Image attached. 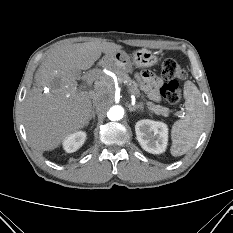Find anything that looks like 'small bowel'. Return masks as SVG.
I'll return each mask as SVG.
<instances>
[{
    "mask_svg": "<svg viewBox=\"0 0 233 233\" xmlns=\"http://www.w3.org/2000/svg\"><path fill=\"white\" fill-rule=\"evenodd\" d=\"M141 87L148 97L154 101H160L159 89L162 86V80L150 71H142L138 74Z\"/></svg>",
    "mask_w": 233,
    "mask_h": 233,
    "instance_id": "obj_1",
    "label": "small bowel"
}]
</instances>
